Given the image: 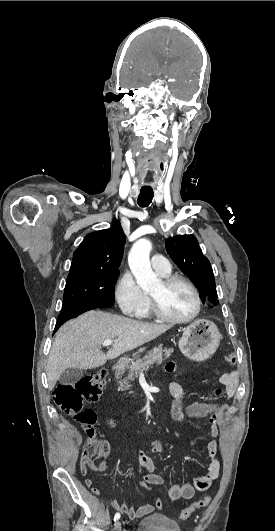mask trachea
Wrapping results in <instances>:
<instances>
[{"instance_id":"trachea-1","label":"trachea","mask_w":275,"mask_h":531,"mask_svg":"<svg viewBox=\"0 0 275 531\" xmlns=\"http://www.w3.org/2000/svg\"><path fill=\"white\" fill-rule=\"evenodd\" d=\"M153 196L154 192L150 186H142L137 200L139 206L142 208L149 206V204L152 202Z\"/></svg>"}]
</instances>
